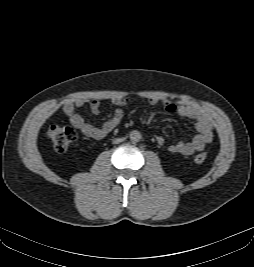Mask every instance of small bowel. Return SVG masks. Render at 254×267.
<instances>
[{
  "label": "small bowel",
  "mask_w": 254,
  "mask_h": 267,
  "mask_svg": "<svg viewBox=\"0 0 254 267\" xmlns=\"http://www.w3.org/2000/svg\"><path fill=\"white\" fill-rule=\"evenodd\" d=\"M160 101L157 98H149L148 103L152 106L157 105ZM112 103L116 106L113 115L105 121L100 127L87 123L84 118L76 112V108L84 104V101L78 99L74 102H68L63 107L64 115L69 123L79 129L85 136L93 139H102L111 133L121 122L124 112L123 107L127 105L126 97L113 98ZM161 104L166 112L176 113L181 117L191 119L197 133L190 141H178L169 146L171 153L185 156L193 155L202 151L205 146L212 141L213 128L208 116L196 105L193 104H175L170 100H163ZM92 114L98 115L101 110V101L94 100L90 104ZM158 143H163V138H157Z\"/></svg>",
  "instance_id": "obj_1"
}]
</instances>
